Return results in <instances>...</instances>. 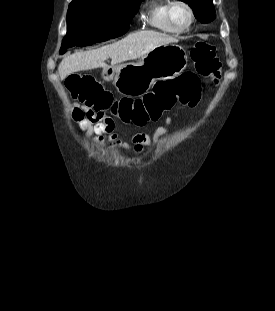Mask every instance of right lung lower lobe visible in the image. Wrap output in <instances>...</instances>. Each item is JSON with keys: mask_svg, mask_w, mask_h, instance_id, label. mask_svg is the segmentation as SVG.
Listing matches in <instances>:
<instances>
[{"mask_svg": "<svg viewBox=\"0 0 275 311\" xmlns=\"http://www.w3.org/2000/svg\"><path fill=\"white\" fill-rule=\"evenodd\" d=\"M127 30H128V29H124L123 32H122V35H123ZM119 36H120V35H119Z\"/></svg>", "mask_w": 275, "mask_h": 311, "instance_id": "1", "label": "right lung lower lobe"}]
</instances>
